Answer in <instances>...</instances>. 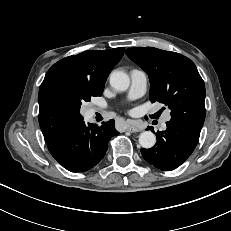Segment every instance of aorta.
<instances>
[{"label":"aorta","instance_id":"762f6f07","mask_svg":"<svg viewBox=\"0 0 231 231\" xmlns=\"http://www.w3.org/2000/svg\"><path fill=\"white\" fill-rule=\"evenodd\" d=\"M110 85L117 91H125L130 85L129 76L120 70H115L110 74ZM156 143V136L151 131H144L139 136V144L145 148H152Z\"/></svg>","mask_w":231,"mask_h":231}]
</instances>
